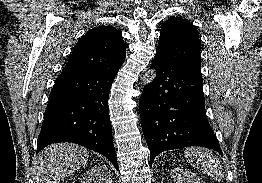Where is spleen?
I'll list each match as a JSON object with an SVG mask.
<instances>
[{
    "mask_svg": "<svg viewBox=\"0 0 262 183\" xmlns=\"http://www.w3.org/2000/svg\"><path fill=\"white\" fill-rule=\"evenodd\" d=\"M185 158L190 165L204 174L216 180L223 179L222 166L212 151L198 147L189 148L185 151Z\"/></svg>",
    "mask_w": 262,
    "mask_h": 183,
    "instance_id": "spleen-1",
    "label": "spleen"
}]
</instances>
